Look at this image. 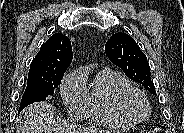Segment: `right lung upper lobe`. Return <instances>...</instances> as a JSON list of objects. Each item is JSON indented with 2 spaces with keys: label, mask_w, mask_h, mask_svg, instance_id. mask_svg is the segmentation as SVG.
Wrapping results in <instances>:
<instances>
[{
  "label": "right lung upper lobe",
  "mask_w": 184,
  "mask_h": 133,
  "mask_svg": "<svg viewBox=\"0 0 184 133\" xmlns=\"http://www.w3.org/2000/svg\"><path fill=\"white\" fill-rule=\"evenodd\" d=\"M71 42L67 36L55 33L40 48L30 64L27 83H45L62 77L72 61Z\"/></svg>",
  "instance_id": "1"
}]
</instances>
